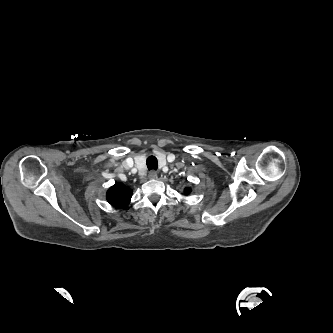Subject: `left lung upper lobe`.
Segmentation results:
<instances>
[{
    "instance_id": "1",
    "label": "left lung upper lobe",
    "mask_w": 333,
    "mask_h": 333,
    "mask_svg": "<svg viewBox=\"0 0 333 333\" xmlns=\"http://www.w3.org/2000/svg\"><path fill=\"white\" fill-rule=\"evenodd\" d=\"M191 192V189L190 188H185V193L186 194H189Z\"/></svg>"
}]
</instances>
